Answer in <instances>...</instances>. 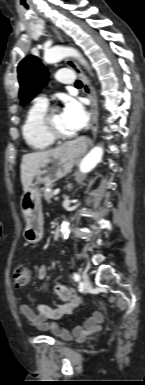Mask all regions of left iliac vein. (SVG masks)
I'll use <instances>...</instances> for the list:
<instances>
[{
    "label": "left iliac vein",
    "instance_id": "4c4485c4",
    "mask_svg": "<svg viewBox=\"0 0 145 385\" xmlns=\"http://www.w3.org/2000/svg\"><path fill=\"white\" fill-rule=\"evenodd\" d=\"M82 284H83L84 288H89L91 286L89 276L86 272L82 273Z\"/></svg>",
    "mask_w": 145,
    "mask_h": 385
}]
</instances>
